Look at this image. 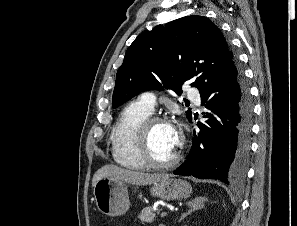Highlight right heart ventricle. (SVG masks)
<instances>
[{"label":"right heart ventricle","mask_w":297,"mask_h":226,"mask_svg":"<svg viewBox=\"0 0 297 226\" xmlns=\"http://www.w3.org/2000/svg\"><path fill=\"white\" fill-rule=\"evenodd\" d=\"M152 112L140 100L129 103L121 111L110 135L112 156L117 164L128 169L145 167L137 152L136 135L140 124Z\"/></svg>","instance_id":"1"}]
</instances>
